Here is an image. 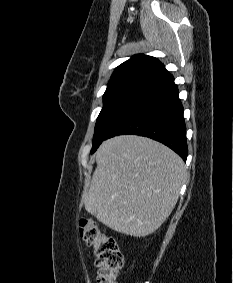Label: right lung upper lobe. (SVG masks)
<instances>
[{"label": "right lung upper lobe", "mask_w": 233, "mask_h": 283, "mask_svg": "<svg viewBox=\"0 0 233 283\" xmlns=\"http://www.w3.org/2000/svg\"><path fill=\"white\" fill-rule=\"evenodd\" d=\"M166 73L168 71L158 59L143 54L135 55L115 69L107 88L128 81L145 80L152 82Z\"/></svg>", "instance_id": "obj_1"}]
</instances>
